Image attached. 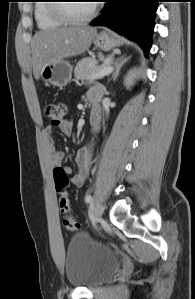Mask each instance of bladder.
Masks as SVG:
<instances>
[{"mask_svg":"<svg viewBox=\"0 0 195 299\" xmlns=\"http://www.w3.org/2000/svg\"><path fill=\"white\" fill-rule=\"evenodd\" d=\"M118 268V259L105 245L80 232L66 249L65 275L77 287L91 288L109 278Z\"/></svg>","mask_w":195,"mask_h":299,"instance_id":"1","label":"bladder"}]
</instances>
